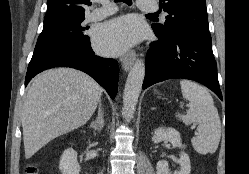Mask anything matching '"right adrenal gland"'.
<instances>
[{
	"label": "right adrenal gland",
	"mask_w": 249,
	"mask_h": 174,
	"mask_svg": "<svg viewBox=\"0 0 249 174\" xmlns=\"http://www.w3.org/2000/svg\"><path fill=\"white\" fill-rule=\"evenodd\" d=\"M90 127L94 130L99 132L104 127V110L102 108V101L99 100L98 105V115L94 121H92Z\"/></svg>",
	"instance_id": "2a0ac1e0"
}]
</instances>
